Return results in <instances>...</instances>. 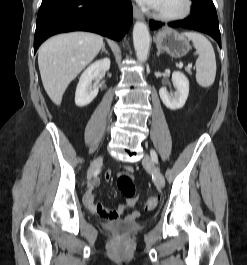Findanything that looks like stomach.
I'll list each match as a JSON object with an SVG mask.
<instances>
[{
	"mask_svg": "<svg viewBox=\"0 0 247 265\" xmlns=\"http://www.w3.org/2000/svg\"><path fill=\"white\" fill-rule=\"evenodd\" d=\"M155 43L159 49L174 58L185 56L191 49L189 41L177 31L163 29L156 34Z\"/></svg>",
	"mask_w": 247,
	"mask_h": 265,
	"instance_id": "1",
	"label": "stomach"
}]
</instances>
